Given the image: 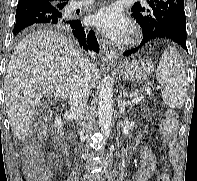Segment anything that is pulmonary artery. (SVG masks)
<instances>
[{
    "instance_id": "pulmonary-artery-1",
    "label": "pulmonary artery",
    "mask_w": 197,
    "mask_h": 181,
    "mask_svg": "<svg viewBox=\"0 0 197 181\" xmlns=\"http://www.w3.org/2000/svg\"><path fill=\"white\" fill-rule=\"evenodd\" d=\"M92 2H93V0H82L81 2L77 3L76 5H74V8L75 7L85 6V5L90 4Z\"/></svg>"
}]
</instances>
